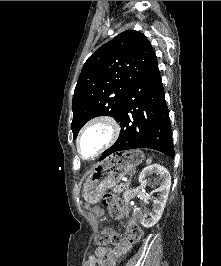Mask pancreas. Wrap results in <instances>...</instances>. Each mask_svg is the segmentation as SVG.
<instances>
[{"label":"pancreas","instance_id":"1","mask_svg":"<svg viewBox=\"0 0 221 266\" xmlns=\"http://www.w3.org/2000/svg\"><path fill=\"white\" fill-rule=\"evenodd\" d=\"M125 188L126 186L124 184H120L113 188V192L120 194L124 191Z\"/></svg>","mask_w":221,"mask_h":266}]
</instances>
